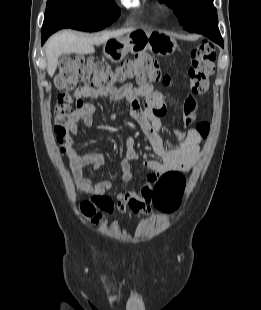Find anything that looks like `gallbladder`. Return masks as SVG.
I'll use <instances>...</instances> for the list:
<instances>
[{
	"label": "gallbladder",
	"mask_w": 261,
	"mask_h": 310,
	"mask_svg": "<svg viewBox=\"0 0 261 310\" xmlns=\"http://www.w3.org/2000/svg\"><path fill=\"white\" fill-rule=\"evenodd\" d=\"M62 58H63V59H67L68 56H67L66 54H64V55L62 56Z\"/></svg>",
	"instance_id": "gallbladder-1"
}]
</instances>
